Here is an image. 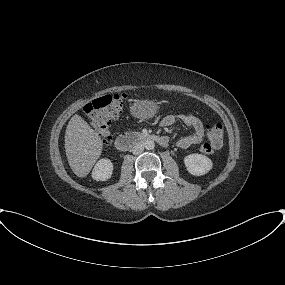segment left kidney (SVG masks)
<instances>
[{"label":"left kidney","instance_id":"1","mask_svg":"<svg viewBox=\"0 0 285 285\" xmlns=\"http://www.w3.org/2000/svg\"><path fill=\"white\" fill-rule=\"evenodd\" d=\"M184 164L187 171L195 176L205 175L213 167L211 159L205 155L197 153L186 156L184 158Z\"/></svg>","mask_w":285,"mask_h":285}]
</instances>
